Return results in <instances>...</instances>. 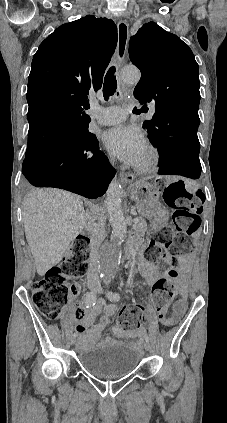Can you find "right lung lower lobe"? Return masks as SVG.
Wrapping results in <instances>:
<instances>
[{
    "mask_svg": "<svg viewBox=\"0 0 227 423\" xmlns=\"http://www.w3.org/2000/svg\"><path fill=\"white\" fill-rule=\"evenodd\" d=\"M72 143L52 146L26 156L22 173L36 187L65 189L86 198L102 196L115 175L97 139L80 148Z\"/></svg>",
    "mask_w": 227,
    "mask_h": 423,
    "instance_id": "98d812e1",
    "label": "right lung lower lobe"
}]
</instances>
